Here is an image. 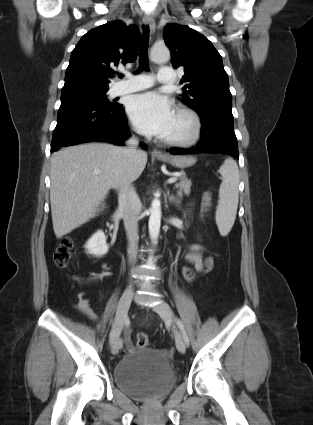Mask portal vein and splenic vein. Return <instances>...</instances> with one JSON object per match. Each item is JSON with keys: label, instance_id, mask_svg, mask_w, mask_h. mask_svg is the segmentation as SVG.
Here are the masks:
<instances>
[{"label": "portal vein and splenic vein", "instance_id": "18ae733b", "mask_svg": "<svg viewBox=\"0 0 313 425\" xmlns=\"http://www.w3.org/2000/svg\"><path fill=\"white\" fill-rule=\"evenodd\" d=\"M100 172H101L100 170H94V173H95V174H98V173H100ZM177 179H178L177 177H171V178H169V179H168V181H167V182H168L169 184H172V183L176 182V181H177Z\"/></svg>", "mask_w": 313, "mask_h": 425}]
</instances>
